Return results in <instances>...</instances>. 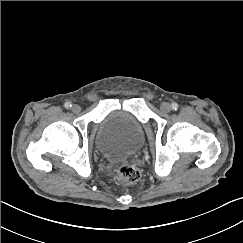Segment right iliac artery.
Instances as JSON below:
<instances>
[{"label":"right iliac artery","instance_id":"82829eb1","mask_svg":"<svg viewBox=\"0 0 243 243\" xmlns=\"http://www.w3.org/2000/svg\"><path fill=\"white\" fill-rule=\"evenodd\" d=\"M71 106H72V105H71L70 102H66V103L64 104V107H65L66 109H69Z\"/></svg>","mask_w":243,"mask_h":243}]
</instances>
